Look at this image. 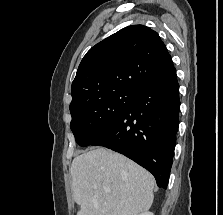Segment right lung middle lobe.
Instances as JSON below:
<instances>
[{
    "label": "right lung middle lobe",
    "mask_w": 223,
    "mask_h": 215,
    "mask_svg": "<svg viewBox=\"0 0 223 215\" xmlns=\"http://www.w3.org/2000/svg\"><path fill=\"white\" fill-rule=\"evenodd\" d=\"M136 93L117 90L70 109V128L80 146H89L122 117Z\"/></svg>",
    "instance_id": "dd1d6c3e"
}]
</instances>
